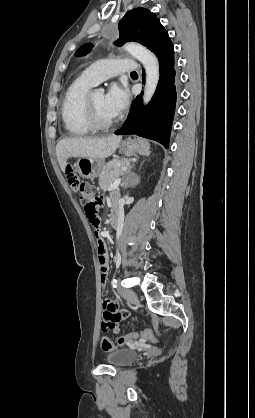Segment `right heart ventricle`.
Here are the masks:
<instances>
[{"label": "right heart ventricle", "mask_w": 255, "mask_h": 418, "mask_svg": "<svg viewBox=\"0 0 255 418\" xmlns=\"http://www.w3.org/2000/svg\"><path fill=\"white\" fill-rule=\"evenodd\" d=\"M94 84L80 76L68 87L61 106L65 130L72 136H85L92 132L85 115V101Z\"/></svg>", "instance_id": "right-heart-ventricle-1"}]
</instances>
